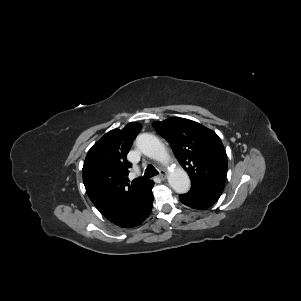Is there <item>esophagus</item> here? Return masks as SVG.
Wrapping results in <instances>:
<instances>
[{
	"mask_svg": "<svg viewBox=\"0 0 301 301\" xmlns=\"http://www.w3.org/2000/svg\"><path fill=\"white\" fill-rule=\"evenodd\" d=\"M158 177H159L161 180H164V179L166 178L165 171H164V170H160V173H159Z\"/></svg>",
	"mask_w": 301,
	"mask_h": 301,
	"instance_id": "esophagus-1",
	"label": "esophagus"
}]
</instances>
